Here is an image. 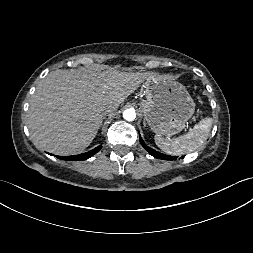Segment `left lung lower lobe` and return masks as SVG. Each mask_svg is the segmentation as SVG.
I'll return each instance as SVG.
<instances>
[{"mask_svg":"<svg viewBox=\"0 0 253 253\" xmlns=\"http://www.w3.org/2000/svg\"><path fill=\"white\" fill-rule=\"evenodd\" d=\"M139 140H140V143L142 144V146L152 155L154 156L155 158H158V159H163V160H175L177 157H174V156H169V155H165V154H162V153H159L155 150H153L152 148L148 147L147 145L144 144L141 136L139 135Z\"/></svg>","mask_w":253,"mask_h":253,"instance_id":"0a47b994","label":"left lung lower lobe"}]
</instances>
